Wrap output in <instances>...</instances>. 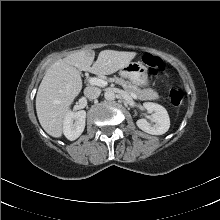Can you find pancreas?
<instances>
[{"instance_id": "pancreas-1", "label": "pancreas", "mask_w": 220, "mask_h": 220, "mask_svg": "<svg viewBox=\"0 0 220 220\" xmlns=\"http://www.w3.org/2000/svg\"><path fill=\"white\" fill-rule=\"evenodd\" d=\"M110 82H115L121 85L128 92L136 94L137 98L140 100H157L159 95L153 90H141L137 86L125 81L123 78L114 77L109 79Z\"/></svg>"}]
</instances>
